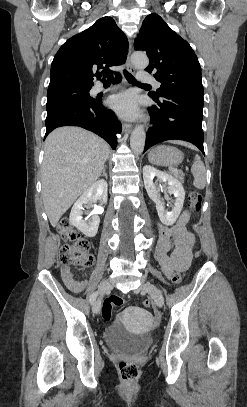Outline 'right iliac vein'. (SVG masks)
I'll use <instances>...</instances> for the list:
<instances>
[{"label":"right iliac vein","mask_w":247,"mask_h":407,"mask_svg":"<svg viewBox=\"0 0 247 407\" xmlns=\"http://www.w3.org/2000/svg\"><path fill=\"white\" fill-rule=\"evenodd\" d=\"M111 288H112V285H111V283L108 282V281H102V282L99 284V291H100L101 294H103V293H105V292H108ZM100 309H101V299L99 298V299L94 303L92 310H93V312H94L95 314H98V313L100 312Z\"/></svg>","instance_id":"1"}]
</instances>
